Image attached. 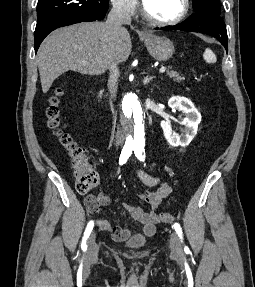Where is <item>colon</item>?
<instances>
[{"label": "colon", "instance_id": "1", "mask_svg": "<svg viewBox=\"0 0 255 287\" xmlns=\"http://www.w3.org/2000/svg\"><path fill=\"white\" fill-rule=\"evenodd\" d=\"M62 91L58 89L52 97L46 110L47 126L55 133L64 150L66 151L73 170V178L79 193L85 194L98 184V175L82 147H80L70 136L60 129L59 98ZM160 219L165 223H172L174 216L163 212Z\"/></svg>", "mask_w": 255, "mask_h": 287}]
</instances>
